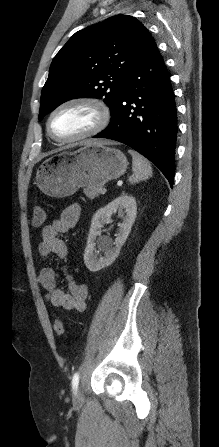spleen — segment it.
<instances>
[{"label":"spleen","mask_w":219,"mask_h":447,"mask_svg":"<svg viewBox=\"0 0 219 447\" xmlns=\"http://www.w3.org/2000/svg\"><path fill=\"white\" fill-rule=\"evenodd\" d=\"M132 156V170L133 174L129 177L130 183H138L139 181L145 180L152 175V167L147 159H145L139 153L129 150Z\"/></svg>","instance_id":"obj_1"}]
</instances>
